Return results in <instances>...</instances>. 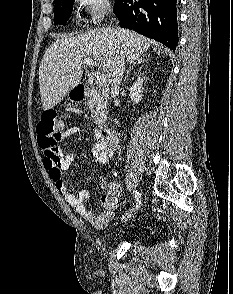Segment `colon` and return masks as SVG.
<instances>
[{"label":"colon","instance_id":"1","mask_svg":"<svg viewBox=\"0 0 233 294\" xmlns=\"http://www.w3.org/2000/svg\"><path fill=\"white\" fill-rule=\"evenodd\" d=\"M64 122L55 110H47L42 114L37 125L38 142L48 157L59 156V143L63 139ZM110 206L115 205L110 202Z\"/></svg>","mask_w":233,"mask_h":294}]
</instances>
